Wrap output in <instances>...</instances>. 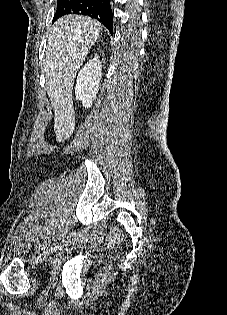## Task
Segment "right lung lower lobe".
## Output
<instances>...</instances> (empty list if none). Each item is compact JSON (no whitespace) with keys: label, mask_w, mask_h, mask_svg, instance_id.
I'll return each instance as SVG.
<instances>
[{"label":"right lung lower lobe","mask_w":227,"mask_h":315,"mask_svg":"<svg viewBox=\"0 0 227 315\" xmlns=\"http://www.w3.org/2000/svg\"><path fill=\"white\" fill-rule=\"evenodd\" d=\"M68 14H81L95 18L113 34L110 0H58L53 22Z\"/></svg>","instance_id":"1"}]
</instances>
